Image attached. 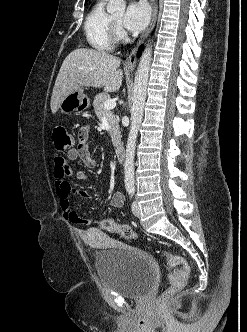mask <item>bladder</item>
Instances as JSON below:
<instances>
[{
  "label": "bladder",
  "mask_w": 247,
  "mask_h": 332,
  "mask_svg": "<svg viewBox=\"0 0 247 332\" xmlns=\"http://www.w3.org/2000/svg\"><path fill=\"white\" fill-rule=\"evenodd\" d=\"M95 268L104 288L130 299L143 298L156 277L153 257L123 243L98 251Z\"/></svg>",
  "instance_id": "bladder-1"
}]
</instances>
